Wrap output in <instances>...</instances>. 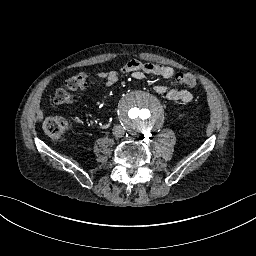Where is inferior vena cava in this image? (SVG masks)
I'll return each instance as SVG.
<instances>
[{
  "instance_id": "1",
  "label": "inferior vena cava",
  "mask_w": 256,
  "mask_h": 256,
  "mask_svg": "<svg viewBox=\"0 0 256 256\" xmlns=\"http://www.w3.org/2000/svg\"><path fill=\"white\" fill-rule=\"evenodd\" d=\"M125 133L124 128L121 125H115L113 127V135L116 137H122Z\"/></svg>"
}]
</instances>
